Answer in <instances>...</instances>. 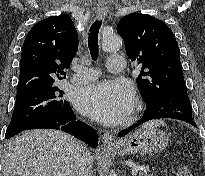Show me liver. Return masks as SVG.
Masks as SVG:
<instances>
[{"mask_svg":"<svg viewBox=\"0 0 205 176\" xmlns=\"http://www.w3.org/2000/svg\"><path fill=\"white\" fill-rule=\"evenodd\" d=\"M77 143L57 130L25 131L7 145L3 176H75Z\"/></svg>","mask_w":205,"mask_h":176,"instance_id":"liver-1","label":"liver"}]
</instances>
